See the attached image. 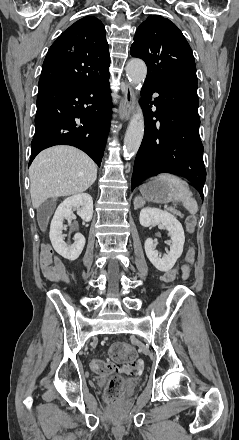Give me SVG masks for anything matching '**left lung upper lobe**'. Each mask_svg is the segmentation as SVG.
I'll list each match as a JSON object with an SVG mask.
<instances>
[{
    "label": "left lung upper lobe",
    "mask_w": 239,
    "mask_h": 440,
    "mask_svg": "<svg viewBox=\"0 0 239 440\" xmlns=\"http://www.w3.org/2000/svg\"><path fill=\"white\" fill-rule=\"evenodd\" d=\"M130 53L145 61L148 80L197 83L192 50L182 32L169 19L153 15L142 22Z\"/></svg>",
    "instance_id": "1"
}]
</instances>
